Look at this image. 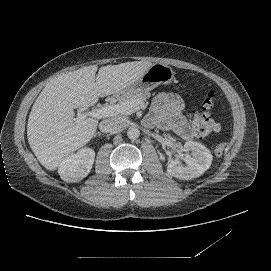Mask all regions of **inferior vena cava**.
<instances>
[{
  "label": "inferior vena cava",
  "instance_id": "602c4592",
  "mask_svg": "<svg viewBox=\"0 0 271 271\" xmlns=\"http://www.w3.org/2000/svg\"><path fill=\"white\" fill-rule=\"evenodd\" d=\"M126 127V122L121 118H109L103 120L100 125L99 129L103 133L108 132H115L120 131Z\"/></svg>",
  "mask_w": 271,
  "mask_h": 271
}]
</instances>
